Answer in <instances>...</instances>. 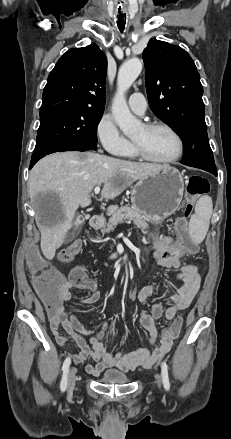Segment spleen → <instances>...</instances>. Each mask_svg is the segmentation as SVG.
<instances>
[{"instance_id":"3e777b00","label":"spleen","mask_w":231,"mask_h":439,"mask_svg":"<svg viewBox=\"0 0 231 439\" xmlns=\"http://www.w3.org/2000/svg\"><path fill=\"white\" fill-rule=\"evenodd\" d=\"M213 211L212 199L209 196L201 197L195 207V214L189 222L190 236L194 243H201L209 229L210 218Z\"/></svg>"}]
</instances>
